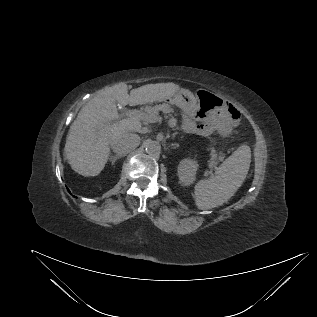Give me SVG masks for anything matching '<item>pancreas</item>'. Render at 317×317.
<instances>
[{
	"label": "pancreas",
	"instance_id": "1",
	"mask_svg": "<svg viewBox=\"0 0 317 317\" xmlns=\"http://www.w3.org/2000/svg\"><path fill=\"white\" fill-rule=\"evenodd\" d=\"M159 111H162L165 114H170L174 111V109L168 105V104H160V105H156L154 107H148L145 109V114L147 116V118L145 119L146 122H151V120L158 118L159 115ZM221 157H218L217 153L215 152V150H212L211 152V158L209 161V166L213 167L217 164L218 160Z\"/></svg>",
	"mask_w": 317,
	"mask_h": 317
}]
</instances>
